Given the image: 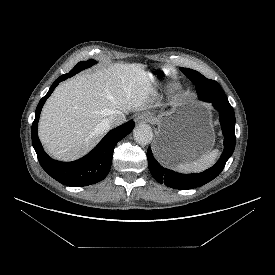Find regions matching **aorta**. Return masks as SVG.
I'll return each mask as SVG.
<instances>
[{"label":"aorta","instance_id":"aorta-1","mask_svg":"<svg viewBox=\"0 0 275 275\" xmlns=\"http://www.w3.org/2000/svg\"><path fill=\"white\" fill-rule=\"evenodd\" d=\"M133 136L137 143L147 145L153 138L152 128L147 124H139L134 128Z\"/></svg>","mask_w":275,"mask_h":275}]
</instances>
